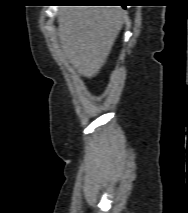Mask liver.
I'll return each instance as SVG.
<instances>
[{
	"label": "liver",
	"instance_id": "6515ba94",
	"mask_svg": "<svg viewBox=\"0 0 188 213\" xmlns=\"http://www.w3.org/2000/svg\"><path fill=\"white\" fill-rule=\"evenodd\" d=\"M126 19L121 6H68L59 13L61 48L80 75L99 73Z\"/></svg>",
	"mask_w": 188,
	"mask_h": 213
}]
</instances>
